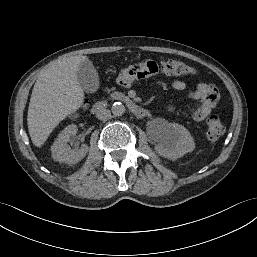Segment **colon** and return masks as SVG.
<instances>
[{
    "mask_svg": "<svg viewBox=\"0 0 257 257\" xmlns=\"http://www.w3.org/2000/svg\"><path fill=\"white\" fill-rule=\"evenodd\" d=\"M157 64L159 66V71L166 76H169L171 74L186 76L194 73V69L192 67L179 60L164 59ZM224 131V124L217 116H211L208 119L207 137L210 140L219 139L223 135Z\"/></svg>",
    "mask_w": 257,
    "mask_h": 257,
    "instance_id": "obj_1",
    "label": "colon"
}]
</instances>
